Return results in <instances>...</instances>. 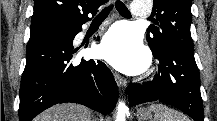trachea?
I'll return each mask as SVG.
<instances>
[{
  "label": "trachea",
  "mask_w": 217,
  "mask_h": 121,
  "mask_svg": "<svg viewBox=\"0 0 217 121\" xmlns=\"http://www.w3.org/2000/svg\"><path fill=\"white\" fill-rule=\"evenodd\" d=\"M115 7L117 9V11L122 15V16H126V17H130V11L128 10V8L126 7V5L121 2L120 0H117L115 2ZM113 8L112 5H109L107 7H105L97 16L95 19H104L108 16V14L110 13L111 9Z\"/></svg>",
  "instance_id": "1"
}]
</instances>
